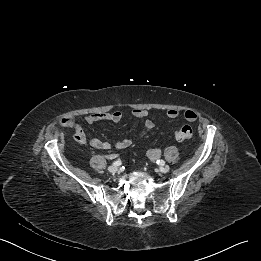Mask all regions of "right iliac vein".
I'll return each mask as SVG.
<instances>
[{"instance_id": "right-iliac-vein-1", "label": "right iliac vein", "mask_w": 261, "mask_h": 261, "mask_svg": "<svg viewBox=\"0 0 261 261\" xmlns=\"http://www.w3.org/2000/svg\"><path fill=\"white\" fill-rule=\"evenodd\" d=\"M117 170H118V167L115 166V165H111V166L108 168V171H109L110 173H115V172H117Z\"/></svg>"}]
</instances>
